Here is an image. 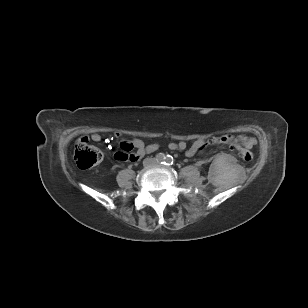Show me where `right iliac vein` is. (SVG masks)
Masks as SVG:
<instances>
[{"instance_id": "right-iliac-vein-1", "label": "right iliac vein", "mask_w": 308, "mask_h": 308, "mask_svg": "<svg viewBox=\"0 0 308 308\" xmlns=\"http://www.w3.org/2000/svg\"><path fill=\"white\" fill-rule=\"evenodd\" d=\"M151 163V161L150 160H148L146 163H145V165H148V164H150Z\"/></svg>"}]
</instances>
